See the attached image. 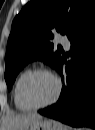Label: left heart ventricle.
<instances>
[{
	"label": "left heart ventricle",
	"mask_w": 95,
	"mask_h": 130,
	"mask_svg": "<svg viewBox=\"0 0 95 130\" xmlns=\"http://www.w3.org/2000/svg\"><path fill=\"white\" fill-rule=\"evenodd\" d=\"M56 92L54 80L45 74L34 75L26 84L25 96L34 105L49 101Z\"/></svg>",
	"instance_id": "obj_1"
}]
</instances>
